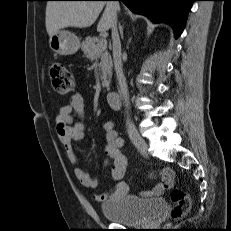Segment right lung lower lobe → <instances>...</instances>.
I'll return each mask as SVG.
<instances>
[{
	"mask_svg": "<svg viewBox=\"0 0 231 231\" xmlns=\"http://www.w3.org/2000/svg\"><path fill=\"white\" fill-rule=\"evenodd\" d=\"M105 1V0H100ZM131 11L147 16L152 22H165L172 26L177 38L182 33L188 10L195 0H117Z\"/></svg>",
	"mask_w": 231,
	"mask_h": 231,
	"instance_id": "obj_1",
	"label": "right lung lower lobe"
}]
</instances>
